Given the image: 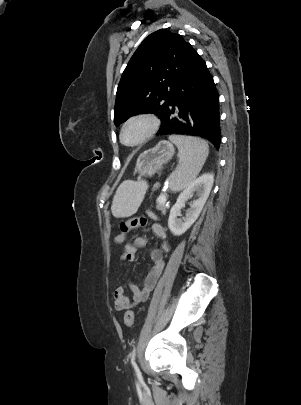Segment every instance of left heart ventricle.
Listing matches in <instances>:
<instances>
[{"instance_id": "left-heart-ventricle-1", "label": "left heart ventricle", "mask_w": 301, "mask_h": 405, "mask_svg": "<svg viewBox=\"0 0 301 405\" xmlns=\"http://www.w3.org/2000/svg\"><path fill=\"white\" fill-rule=\"evenodd\" d=\"M145 124L136 122L128 126L124 132L123 139L126 143L132 144L138 141L145 132Z\"/></svg>"}]
</instances>
